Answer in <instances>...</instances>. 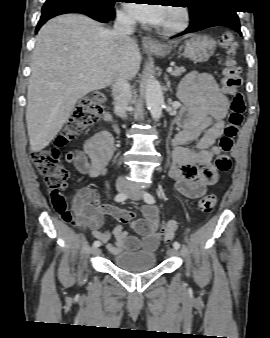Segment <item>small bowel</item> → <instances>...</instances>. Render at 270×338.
I'll return each mask as SVG.
<instances>
[{"label": "small bowel", "instance_id": "1", "mask_svg": "<svg viewBox=\"0 0 270 338\" xmlns=\"http://www.w3.org/2000/svg\"><path fill=\"white\" fill-rule=\"evenodd\" d=\"M178 95L187 110L178 120L181 130L173 140L170 177L180 194L197 200L206 194L207 186L217 180L212 160L221 152L217 140L224 131V119L229 111L228 99L210 75L196 71L186 75ZM192 143L195 149L186 146ZM114 151V138L107 130H101L86 140L83 151L68 152L66 160L73 163L81 174L96 178L106 173ZM71 201L73 211L70 212V221L89 228L98 241L106 244L109 252L139 249L152 252L158 246L160 218L156 206H143V219L134 221V214L130 211L112 205L101 206L98 193L91 186L77 189ZM61 204L66 207L64 198ZM103 212L123 223H133L137 235H129L122 225H117L112 234L103 230ZM112 235L114 242L111 241Z\"/></svg>", "mask_w": 270, "mask_h": 338}]
</instances>
